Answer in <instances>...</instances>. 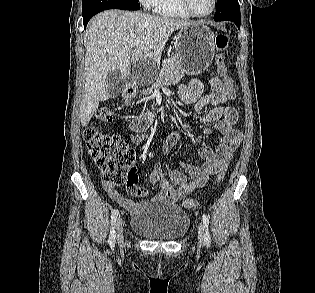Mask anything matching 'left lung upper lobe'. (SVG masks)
<instances>
[{"instance_id":"left-lung-upper-lobe-1","label":"left lung upper lobe","mask_w":315,"mask_h":293,"mask_svg":"<svg viewBox=\"0 0 315 293\" xmlns=\"http://www.w3.org/2000/svg\"><path fill=\"white\" fill-rule=\"evenodd\" d=\"M214 20H240V6L238 0H217V8Z\"/></svg>"}]
</instances>
